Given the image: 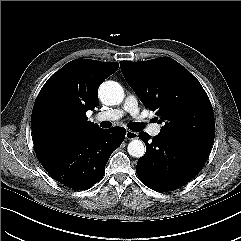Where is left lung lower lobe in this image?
Listing matches in <instances>:
<instances>
[{
    "label": "left lung lower lobe",
    "instance_id": "left-lung-lower-lobe-1",
    "mask_svg": "<svg viewBox=\"0 0 241 241\" xmlns=\"http://www.w3.org/2000/svg\"><path fill=\"white\" fill-rule=\"evenodd\" d=\"M146 153L138 159L136 171L140 179L156 191L182 187L203 168L211 144L160 133L149 141L148 133H139Z\"/></svg>",
    "mask_w": 241,
    "mask_h": 241
}]
</instances>
